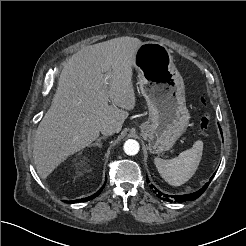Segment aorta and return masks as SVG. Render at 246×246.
<instances>
[{"label":"aorta","instance_id":"1","mask_svg":"<svg viewBox=\"0 0 246 246\" xmlns=\"http://www.w3.org/2000/svg\"><path fill=\"white\" fill-rule=\"evenodd\" d=\"M139 143L136 140L128 139L124 143V152L127 155H136L139 151Z\"/></svg>","mask_w":246,"mask_h":246}]
</instances>
